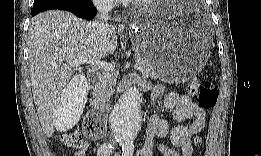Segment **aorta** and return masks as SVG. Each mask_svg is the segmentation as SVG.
<instances>
[{
  "instance_id": "762f6f07",
  "label": "aorta",
  "mask_w": 261,
  "mask_h": 156,
  "mask_svg": "<svg viewBox=\"0 0 261 156\" xmlns=\"http://www.w3.org/2000/svg\"><path fill=\"white\" fill-rule=\"evenodd\" d=\"M141 96L139 89L130 88L115 104L110 114L113 133L121 143L131 142L141 129Z\"/></svg>"
}]
</instances>
